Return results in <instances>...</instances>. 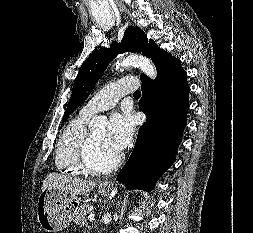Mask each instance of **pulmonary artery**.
I'll list each match as a JSON object with an SVG mask.
<instances>
[{
  "label": "pulmonary artery",
  "instance_id": "1",
  "mask_svg": "<svg viewBox=\"0 0 253 233\" xmlns=\"http://www.w3.org/2000/svg\"><path fill=\"white\" fill-rule=\"evenodd\" d=\"M134 77L125 76L117 82L111 83L96 93L81 109L87 116L114 107L119 99L137 88Z\"/></svg>",
  "mask_w": 253,
  "mask_h": 233
}]
</instances>
